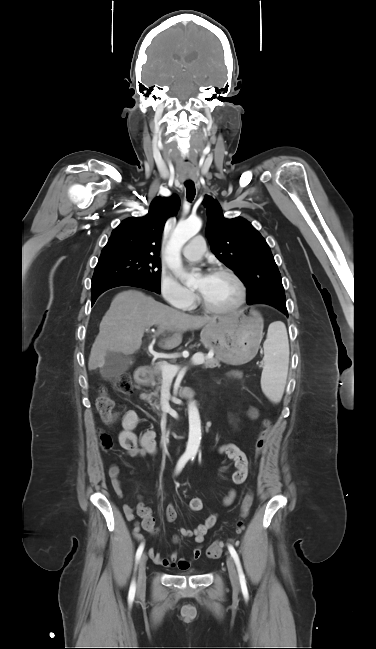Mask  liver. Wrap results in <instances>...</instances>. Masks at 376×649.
Listing matches in <instances>:
<instances>
[{
    "label": "liver",
    "mask_w": 376,
    "mask_h": 649,
    "mask_svg": "<svg viewBox=\"0 0 376 649\" xmlns=\"http://www.w3.org/2000/svg\"><path fill=\"white\" fill-rule=\"evenodd\" d=\"M215 321L216 318L212 317L185 314L140 291H123L114 297L100 323L99 334L91 348L88 368H101L107 351L133 354L140 348L145 330L152 326H157V335L176 332L164 343H160L162 348L169 350L181 343L183 332L200 329Z\"/></svg>",
    "instance_id": "obj_1"
}]
</instances>
